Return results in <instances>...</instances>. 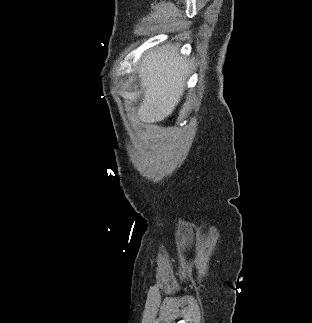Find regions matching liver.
Here are the masks:
<instances>
[{
    "instance_id": "1",
    "label": "liver",
    "mask_w": 312,
    "mask_h": 323,
    "mask_svg": "<svg viewBox=\"0 0 312 323\" xmlns=\"http://www.w3.org/2000/svg\"><path fill=\"white\" fill-rule=\"evenodd\" d=\"M189 68L175 46L145 52L139 70L141 86L145 88L137 112L141 122L154 124L173 114L184 94Z\"/></svg>"
}]
</instances>
